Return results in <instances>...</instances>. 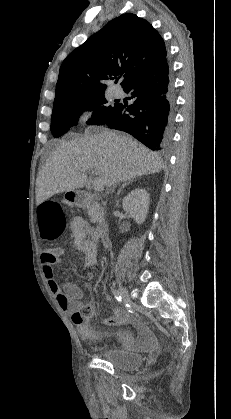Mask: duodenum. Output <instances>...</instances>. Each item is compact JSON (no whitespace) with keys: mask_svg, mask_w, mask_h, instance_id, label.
<instances>
[{"mask_svg":"<svg viewBox=\"0 0 231 419\" xmlns=\"http://www.w3.org/2000/svg\"><path fill=\"white\" fill-rule=\"evenodd\" d=\"M75 202L80 207H85L94 202L91 195L87 193H77L75 195ZM97 228H98V234L104 241V243H107L108 241V232H109V226L108 223L104 219H100L97 222Z\"/></svg>","mask_w":231,"mask_h":419,"instance_id":"410a0bca","label":"duodenum"}]
</instances>
